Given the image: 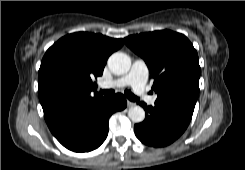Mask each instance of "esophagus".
I'll list each match as a JSON object with an SVG mask.
<instances>
[{"mask_svg": "<svg viewBox=\"0 0 245 170\" xmlns=\"http://www.w3.org/2000/svg\"><path fill=\"white\" fill-rule=\"evenodd\" d=\"M127 106L128 107H133V106H135V103L132 102V101H127Z\"/></svg>", "mask_w": 245, "mask_h": 170, "instance_id": "1", "label": "esophagus"}]
</instances>
